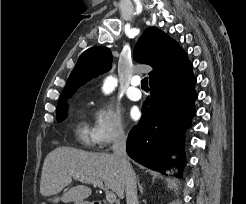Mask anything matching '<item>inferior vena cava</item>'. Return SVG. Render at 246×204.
<instances>
[{
  "instance_id": "1",
  "label": "inferior vena cava",
  "mask_w": 246,
  "mask_h": 204,
  "mask_svg": "<svg viewBox=\"0 0 246 204\" xmlns=\"http://www.w3.org/2000/svg\"><path fill=\"white\" fill-rule=\"evenodd\" d=\"M126 140L124 131L119 130L112 146L113 155L123 171L127 204H138L136 176L126 153Z\"/></svg>"
}]
</instances>
